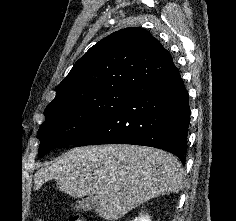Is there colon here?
<instances>
[{"mask_svg":"<svg viewBox=\"0 0 236 221\" xmlns=\"http://www.w3.org/2000/svg\"><path fill=\"white\" fill-rule=\"evenodd\" d=\"M38 221H44V220L39 219ZM69 221H88V220H86L85 218H83L79 215H74V216L70 217Z\"/></svg>","mask_w":236,"mask_h":221,"instance_id":"colon-1","label":"colon"}]
</instances>
